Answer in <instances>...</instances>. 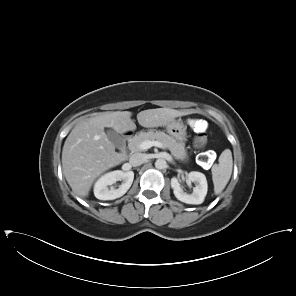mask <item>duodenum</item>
<instances>
[{"label":"duodenum","mask_w":296,"mask_h":296,"mask_svg":"<svg viewBox=\"0 0 296 296\" xmlns=\"http://www.w3.org/2000/svg\"><path fill=\"white\" fill-rule=\"evenodd\" d=\"M134 132L133 131H128L124 135V140L128 144V147L132 146V141L134 139Z\"/></svg>","instance_id":"duodenum-1"}]
</instances>
